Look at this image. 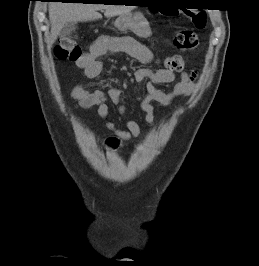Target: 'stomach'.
Masks as SVG:
<instances>
[{
    "label": "stomach",
    "instance_id": "1",
    "mask_svg": "<svg viewBox=\"0 0 259 266\" xmlns=\"http://www.w3.org/2000/svg\"><path fill=\"white\" fill-rule=\"evenodd\" d=\"M115 26L120 31L130 30L139 37H147L151 33L148 22L141 15L132 16L130 13L120 15L115 21Z\"/></svg>",
    "mask_w": 259,
    "mask_h": 266
}]
</instances>
